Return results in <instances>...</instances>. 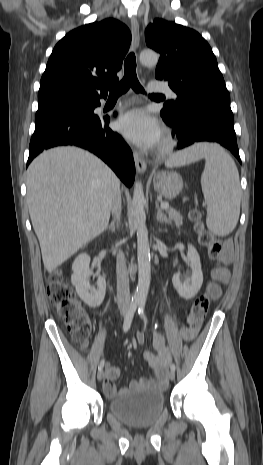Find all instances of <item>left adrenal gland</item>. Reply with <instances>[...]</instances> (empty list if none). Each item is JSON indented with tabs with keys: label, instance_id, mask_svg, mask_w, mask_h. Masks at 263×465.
I'll return each instance as SVG.
<instances>
[{
	"label": "left adrenal gland",
	"instance_id": "1",
	"mask_svg": "<svg viewBox=\"0 0 263 465\" xmlns=\"http://www.w3.org/2000/svg\"><path fill=\"white\" fill-rule=\"evenodd\" d=\"M156 209H157V216L156 219L158 222H165V223H170V220L166 216V214L163 213V211L160 209L158 202H156Z\"/></svg>",
	"mask_w": 263,
	"mask_h": 465
}]
</instances>
